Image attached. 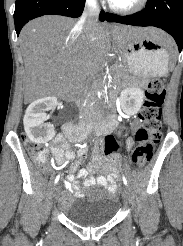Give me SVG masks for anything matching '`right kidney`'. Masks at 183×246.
Segmentation results:
<instances>
[{
  "instance_id": "ca27d5eb",
  "label": "right kidney",
  "mask_w": 183,
  "mask_h": 246,
  "mask_svg": "<svg viewBox=\"0 0 183 246\" xmlns=\"http://www.w3.org/2000/svg\"><path fill=\"white\" fill-rule=\"evenodd\" d=\"M59 106L55 97H44L31 103L24 116V128L29 139L37 144L46 143L55 134L54 126L45 123L46 111Z\"/></svg>"
}]
</instances>
